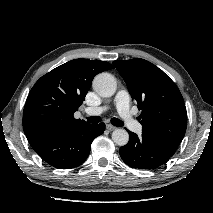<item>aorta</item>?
Here are the masks:
<instances>
[{
  "label": "aorta",
  "mask_w": 213,
  "mask_h": 213,
  "mask_svg": "<svg viewBox=\"0 0 213 213\" xmlns=\"http://www.w3.org/2000/svg\"><path fill=\"white\" fill-rule=\"evenodd\" d=\"M94 90L102 97H111L116 92L115 78L109 73H100L93 80ZM112 140L118 146H124L129 141V134L125 129H116L112 133Z\"/></svg>",
  "instance_id": "1"
}]
</instances>
